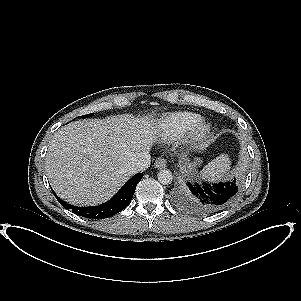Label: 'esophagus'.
<instances>
[{
	"instance_id": "obj_1",
	"label": "esophagus",
	"mask_w": 301,
	"mask_h": 301,
	"mask_svg": "<svg viewBox=\"0 0 301 301\" xmlns=\"http://www.w3.org/2000/svg\"><path fill=\"white\" fill-rule=\"evenodd\" d=\"M154 166L157 169H163L167 166V161L166 159L159 157L155 160Z\"/></svg>"
}]
</instances>
